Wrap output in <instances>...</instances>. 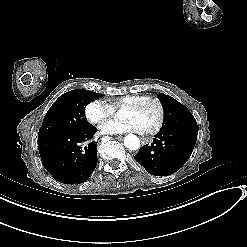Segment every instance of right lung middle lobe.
Here are the masks:
<instances>
[{
  "label": "right lung middle lobe",
  "mask_w": 247,
  "mask_h": 247,
  "mask_svg": "<svg viewBox=\"0 0 247 247\" xmlns=\"http://www.w3.org/2000/svg\"><path fill=\"white\" fill-rule=\"evenodd\" d=\"M102 95L84 89H75L62 94L46 113L38 137L87 128L90 124L84 118L85 107Z\"/></svg>",
  "instance_id": "dd1d6c3e"
}]
</instances>
